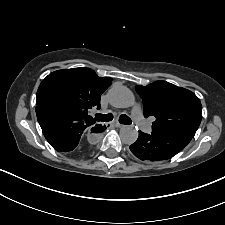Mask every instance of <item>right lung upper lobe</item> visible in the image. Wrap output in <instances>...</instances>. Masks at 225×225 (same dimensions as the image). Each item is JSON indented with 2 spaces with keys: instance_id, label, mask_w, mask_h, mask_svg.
I'll use <instances>...</instances> for the list:
<instances>
[{
  "instance_id": "right-lung-upper-lobe-1",
  "label": "right lung upper lobe",
  "mask_w": 225,
  "mask_h": 225,
  "mask_svg": "<svg viewBox=\"0 0 225 225\" xmlns=\"http://www.w3.org/2000/svg\"><path fill=\"white\" fill-rule=\"evenodd\" d=\"M111 82L112 78L98 77L85 67L58 70L42 80L36 105L81 116L94 124L88 110L100 108V96Z\"/></svg>"
}]
</instances>
